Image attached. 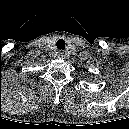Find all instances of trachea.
<instances>
[{"instance_id": "trachea-1", "label": "trachea", "mask_w": 129, "mask_h": 129, "mask_svg": "<svg viewBox=\"0 0 129 129\" xmlns=\"http://www.w3.org/2000/svg\"><path fill=\"white\" fill-rule=\"evenodd\" d=\"M56 46L58 49L64 50L65 49V41L63 39H59L56 42Z\"/></svg>"}]
</instances>
